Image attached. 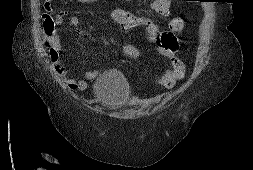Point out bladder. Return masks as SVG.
Returning <instances> with one entry per match:
<instances>
[{"label": "bladder", "instance_id": "obj_1", "mask_svg": "<svg viewBox=\"0 0 253 170\" xmlns=\"http://www.w3.org/2000/svg\"><path fill=\"white\" fill-rule=\"evenodd\" d=\"M94 95L101 105L114 110L127 103L131 88L121 72L106 70L95 80Z\"/></svg>", "mask_w": 253, "mask_h": 170}]
</instances>
